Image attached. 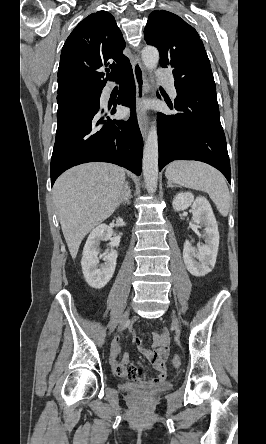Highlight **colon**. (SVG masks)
<instances>
[{
  "mask_svg": "<svg viewBox=\"0 0 266 444\" xmlns=\"http://www.w3.org/2000/svg\"><path fill=\"white\" fill-rule=\"evenodd\" d=\"M171 363L174 367H178L180 365V358L178 356H173Z\"/></svg>",
  "mask_w": 266,
  "mask_h": 444,
  "instance_id": "colon-1",
  "label": "colon"
}]
</instances>
